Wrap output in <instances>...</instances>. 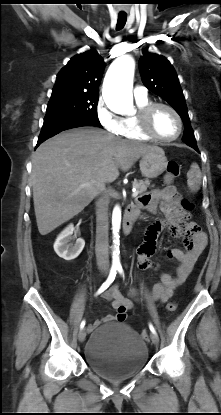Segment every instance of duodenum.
<instances>
[{
  "instance_id": "1",
  "label": "duodenum",
  "mask_w": 221,
  "mask_h": 415,
  "mask_svg": "<svg viewBox=\"0 0 221 415\" xmlns=\"http://www.w3.org/2000/svg\"><path fill=\"white\" fill-rule=\"evenodd\" d=\"M138 216V209L135 206L127 208L123 219V231L129 234L132 231L134 222Z\"/></svg>"
}]
</instances>
